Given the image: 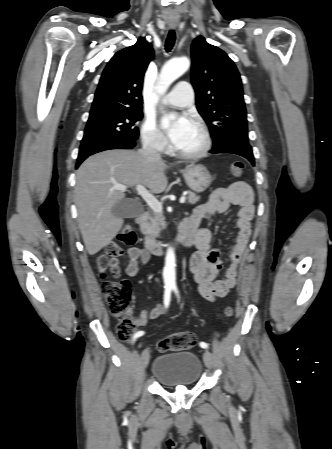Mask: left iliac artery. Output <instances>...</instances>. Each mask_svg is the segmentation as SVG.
Masks as SVG:
<instances>
[{"label": "left iliac artery", "mask_w": 332, "mask_h": 449, "mask_svg": "<svg viewBox=\"0 0 332 449\" xmlns=\"http://www.w3.org/2000/svg\"><path fill=\"white\" fill-rule=\"evenodd\" d=\"M172 289H173V291L175 292V294H176L177 296H179L177 287H176V286H173ZM199 345H200V347H202V348H204V349L208 348V344L205 343V342H200Z\"/></svg>", "instance_id": "left-iliac-artery-1"}]
</instances>
